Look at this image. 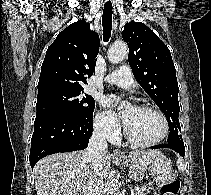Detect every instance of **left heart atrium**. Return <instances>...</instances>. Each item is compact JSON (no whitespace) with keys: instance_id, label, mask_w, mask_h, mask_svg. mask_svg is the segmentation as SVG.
<instances>
[{"instance_id":"obj_1","label":"left heart atrium","mask_w":211,"mask_h":195,"mask_svg":"<svg viewBox=\"0 0 211 195\" xmlns=\"http://www.w3.org/2000/svg\"><path fill=\"white\" fill-rule=\"evenodd\" d=\"M103 103H104V105H106L108 107L114 108L117 104V99L114 96H106L103 98ZM126 118H127V116L124 113V115H123L124 121H126Z\"/></svg>"}]
</instances>
